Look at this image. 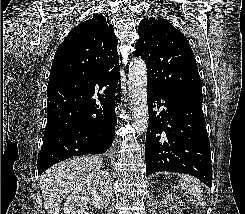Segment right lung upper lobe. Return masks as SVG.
Masks as SVG:
<instances>
[{
    "label": "right lung upper lobe",
    "mask_w": 245,
    "mask_h": 214,
    "mask_svg": "<svg viewBox=\"0 0 245 214\" xmlns=\"http://www.w3.org/2000/svg\"><path fill=\"white\" fill-rule=\"evenodd\" d=\"M117 44L112 25L101 14L73 28L55 53L47 96L81 99L100 75L119 72Z\"/></svg>",
    "instance_id": "obj_1"
}]
</instances>
